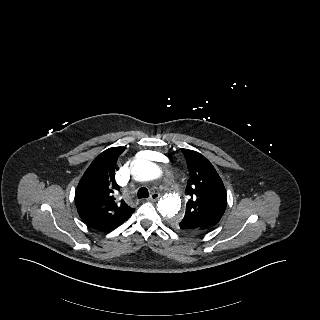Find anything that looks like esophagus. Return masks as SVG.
<instances>
[{"label":"esophagus","mask_w":320,"mask_h":320,"mask_svg":"<svg viewBox=\"0 0 320 320\" xmlns=\"http://www.w3.org/2000/svg\"><path fill=\"white\" fill-rule=\"evenodd\" d=\"M160 197V195L158 193H152L150 195V197L147 199L148 201H156L158 198Z\"/></svg>","instance_id":"obj_1"}]
</instances>
